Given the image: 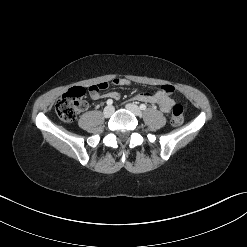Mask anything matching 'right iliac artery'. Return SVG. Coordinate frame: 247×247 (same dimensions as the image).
Listing matches in <instances>:
<instances>
[{
  "label": "right iliac artery",
  "instance_id": "1",
  "mask_svg": "<svg viewBox=\"0 0 247 247\" xmlns=\"http://www.w3.org/2000/svg\"><path fill=\"white\" fill-rule=\"evenodd\" d=\"M106 103H107V105H112L113 104V100L112 99H108Z\"/></svg>",
  "mask_w": 247,
  "mask_h": 247
}]
</instances>
